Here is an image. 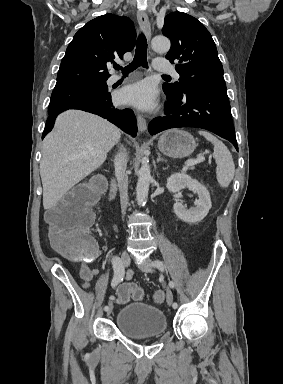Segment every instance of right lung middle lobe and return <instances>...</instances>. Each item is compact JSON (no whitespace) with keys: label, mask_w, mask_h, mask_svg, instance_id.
Segmentation results:
<instances>
[{"label":"right lung middle lobe","mask_w":283,"mask_h":384,"mask_svg":"<svg viewBox=\"0 0 283 384\" xmlns=\"http://www.w3.org/2000/svg\"><path fill=\"white\" fill-rule=\"evenodd\" d=\"M108 96H110V93L108 92L106 81L65 88H54L49 108H61L81 101L101 99Z\"/></svg>","instance_id":"dd1d6c3e"}]
</instances>
